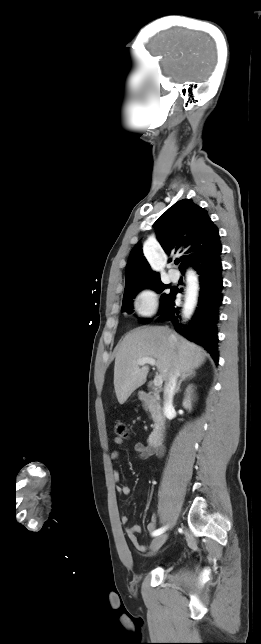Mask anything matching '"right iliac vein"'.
Wrapping results in <instances>:
<instances>
[{
  "instance_id": "1",
  "label": "right iliac vein",
  "mask_w": 261,
  "mask_h": 644,
  "mask_svg": "<svg viewBox=\"0 0 261 644\" xmlns=\"http://www.w3.org/2000/svg\"><path fill=\"white\" fill-rule=\"evenodd\" d=\"M167 537H168L167 534H164L154 538L151 542V551L152 552L158 551L161 548V546L166 542Z\"/></svg>"
}]
</instances>
